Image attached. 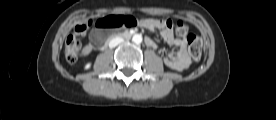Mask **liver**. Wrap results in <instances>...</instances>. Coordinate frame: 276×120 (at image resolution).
I'll use <instances>...</instances> for the list:
<instances>
[{
	"instance_id": "1",
	"label": "liver",
	"mask_w": 276,
	"mask_h": 120,
	"mask_svg": "<svg viewBox=\"0 0 276 120\" xmlns=\"http://www.w3.org/2000/svg\"><path fill=\"white\" fill-rule=\"evenodd\" d=\"M89 51L87 50V51H85L84 53L86 54V53H88Z\"/></svg>"
}]
</instances>
